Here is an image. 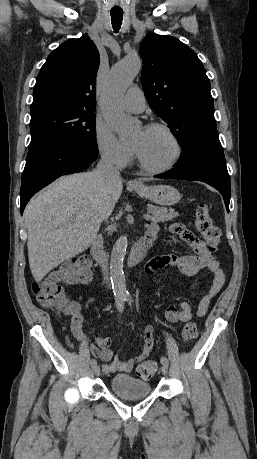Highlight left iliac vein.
I'll list each match as a JSON object with an SVG mask.
<instances>
[{
	"instance_id": "4c4485c4",
	"label": "left iliac vein",
	"mask_w": 257,
	"mask_h": 459,
	"mask_svg": "<svg viewBox=\"0 0 257 459\" xmlns=\"http://www.w3.org/2000/svg\"><path fill=\"white\" fill-rule=\"evenodd\" d=\"M161 371L163 375H167L168 373V365L162 364Z\"/></svg>"
}]
</instances>
